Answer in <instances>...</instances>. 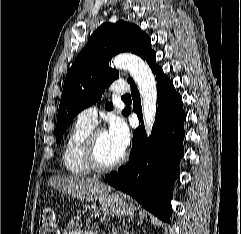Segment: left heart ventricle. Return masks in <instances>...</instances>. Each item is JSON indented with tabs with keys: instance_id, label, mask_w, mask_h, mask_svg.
I'll return each mask as SVG.
<instances>
[{
	"instance_id": "1",
	"label": "left heart ventricle",
	"mask_w": 241,
	"mask_h": 234,
	"mask_svg": "<svg viewBox=\"0 0 241 234\" xmlns=\"http://www.w3.org/2000/svg\"><path fill=\"white\" fill-rule=\"evenodd\" d=\"M97 152L104 164L115 162L123 153L113 144L106 131L97 134Z\"/></svg>"
}]
</instances>
